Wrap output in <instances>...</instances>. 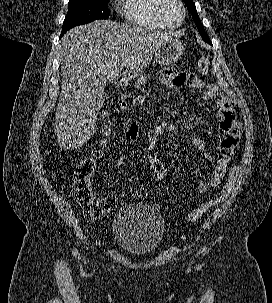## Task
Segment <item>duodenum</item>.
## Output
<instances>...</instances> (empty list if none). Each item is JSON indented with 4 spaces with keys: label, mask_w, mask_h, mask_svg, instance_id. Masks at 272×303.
<instances>
[{
    "label": "duodenum",
    "mask_w": 272,
    "mask_h": 303,
    "mask_svg": "<svg viewBox=\"0 0 272 303\" xmlns=\"http://www.w3.org/2000/svg\"><path fill=\"white\" fill-rule=\"evenodd\" d=\"M128 81H129V76L126 74H121L115 78L114 84L117 87L122 88L127 85ZM119 105L122 109L126 108V102L123 99L119 100Z\"/></svg>",
    "instance_id": "410a0bca"
}]
</instances>
